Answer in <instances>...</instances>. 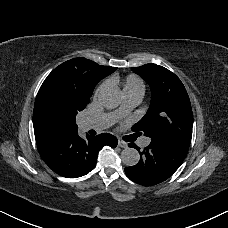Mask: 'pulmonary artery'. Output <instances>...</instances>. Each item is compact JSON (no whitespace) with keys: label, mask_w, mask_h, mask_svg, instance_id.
I'll return each instance as SVG.
<instances>
[{"label":"pulmonary artery","mask_w":228,"mask_h":228,"mask_svg":"<svg viewBox=\"0 0 228 228\" xmlns=\"http://www.w3.org/2000/svg\"><path fill=\"white\" fill-rule=\"evenodd\" d=\"M125 98L129 107H135L140 103L142 95L130 94ZM112 126H113V119L111 118V116L92 117L90 119V127L92 129H108V128H111Z\"/></svg>","instance_id":"e3ab8cb5"}]
</instances>
